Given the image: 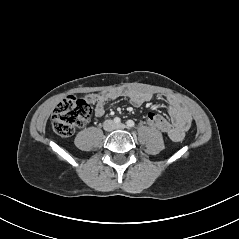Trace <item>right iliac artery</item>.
<instances>
[{
	"instance_id": "obj_1",
	"label": "right iliac artery",
	"mask_w": 239,
	"mask_h": 239,
	"mask_svg": "<svg viewBox=\"0 0 239 239\" xmlns=\"http://www.w3.org/2000/svg\"><path fill=\"white\" fill-rule=\"evenodd\" d=\"M114 122H115L116 124H119V123L121 122V119H120L119 117H115V118H114Z\"/></svg>"
}]
</instances>
